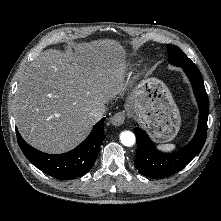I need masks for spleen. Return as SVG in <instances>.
Wrapping results in <instances>:
<instances>
[{"label":"spleen","mask_w":221,"mask_h":221,"mask_svg":"<svg viewBox=\"0 0 221 221\" xmlns=\"http://www.w3.org/2000/svg\"><path fill=\"white\" fill-rule=\"evenodd\" d=\"M175 145L174 144H162L158 146V149L161 151H166V152H170L172 150L175 149Z\"/></svg>","instance_id":"1"}]
</instances>
